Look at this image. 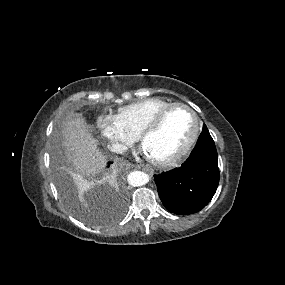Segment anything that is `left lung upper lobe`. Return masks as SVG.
<instances>
[{
    "label": "left lung upper lobe",
    "mask_w": 285,
    "mask_h": 285,
    "mask_svg": "<svg viewBox=\"0 0 285 285\" xmlns=\"http://www.w3.org/2000/svg\"><path fill=\"white\" fill-rule=\"evenodd\" d=\"M203 130H207V127H206V125H204V127H203Z\"/></svg>",
    "instance_id": "1"
}]
</instances>
